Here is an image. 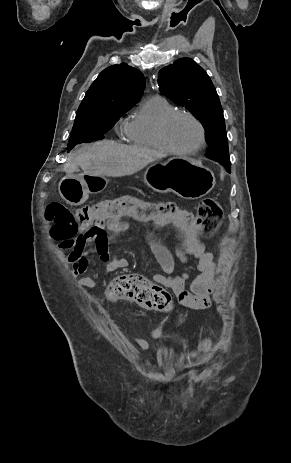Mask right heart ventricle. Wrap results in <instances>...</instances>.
Returning <instances> with one entry per match:
<instances>
[{
  "label": "right heart ventricle",
  "instance_id": "obj_1",
  "mask_svg": "<svg viewBox=\"0 0 291 463\" xmlns=\"http://www.w3.org/2000/svg\"><path fill=\"white\" fill-rule=\"evenodd\" d=\"M175 107L164 97L155 95L145 99L126 125L128 140L138 146L164 151L158 138L161 120Z\"/></svg>",
  "mask_w": 291,
  "mask_h": 463
}]
</instances>
